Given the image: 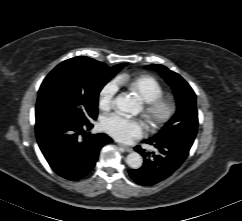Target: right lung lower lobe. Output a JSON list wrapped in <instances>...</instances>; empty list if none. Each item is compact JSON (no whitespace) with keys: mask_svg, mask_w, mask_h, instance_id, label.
Returning a JSON list of instances; mask_svg holds the SVG:
<instances>
[{"mask_svg":"<svg viewBox=\"0 0 242 221\" xmlns=\"http://www.w3.org/2000/svg\"><path fill=\"white\" fill-rule=\"evenodd\" d=\"M92 127L91 120L76 122L61 117L36 120L39 147L51 168L61 177L71 181L83 178L95 166L101 148L112 142L104 133H84Z\"/></svg>","mask_w":242,"mask_h":221,"instance_id":"1","label":"right lung lower lobe"}]
</instances>
